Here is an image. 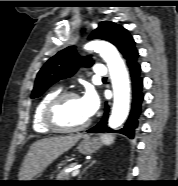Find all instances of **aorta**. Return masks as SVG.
<instances>
[{"label":"aorta","instance_id":"aorta-1","mask_svg":"<svg viewBox=\"0 0 178 186\" xmlns=\"http://www.w3.org/2000/svg\"><path fill=\"white\" fill-rule=\"evenodd\" d=\"M86 50H96L109 68L114 92V104L109 118V127L116 129L125 121L130 108V82L125 64L116 48L108 42L95 40L85 46Z\"/></svg>","mask_w":178,"mask_h":186}]
</instances>
